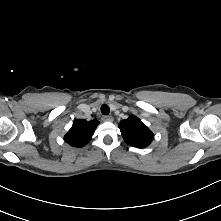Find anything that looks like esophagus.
<instances>
[{
	"instance_id": "34e87169",
	"label": "esophagus",
	"mask_w": 221,
	"mask_h": 221,
	"mask_svg": "<svg viewBox=\"0 0 221 221\" xmlns=\"http://www.w3.org/2000/svg\"><path fill=\"white\" fill-rule=\"evenodd\" d=\"M102 120H103V121L111 122V121H113V117H112V116L104 115V116L102 117Z\"/></svg>"
}]
</instances>
